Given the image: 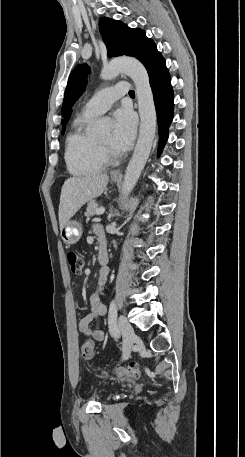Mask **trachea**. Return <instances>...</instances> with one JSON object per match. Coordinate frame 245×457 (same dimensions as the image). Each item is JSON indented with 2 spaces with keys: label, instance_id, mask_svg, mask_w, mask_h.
Here are the masks:
<instances>
[{
  "label": "trachea",
  "instance_id": "trachea-1",
  "mask_svg": "<svg viewBox=\"0 0 245 457\" xmlns=\"http://www.w3.org/2000/svg\"><path fill=\"white\" fill-rule=\"evenodd\" d=\"M129 94H134V90H130V91H129Z\"/></svg>",
  "mask_w": 245,
  "mask_h": 457
}]
</instances>
